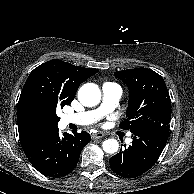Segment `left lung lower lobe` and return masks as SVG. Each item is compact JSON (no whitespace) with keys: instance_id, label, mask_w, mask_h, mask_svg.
Masks as SVG:
<instances>
[{"instance_id":"obj_1","label":"left lung lower lobe","mask_w":194,"mask_h":194,"mask_svg":"<svg viewBox=\"0 0 194 194\" xmlns=\"http://www.w3.org/2000/svg\"><path fill=\"white\" fill-rule=\"evenodd\" d=\"M132 145L110 158L112 171L124 178H135L148 171L158 160L167 142L166 128L138 127L131 131Z\"/></svg>"}]
</instances>
